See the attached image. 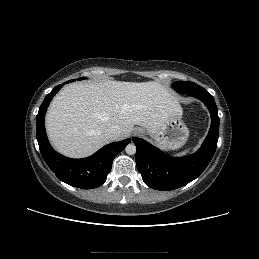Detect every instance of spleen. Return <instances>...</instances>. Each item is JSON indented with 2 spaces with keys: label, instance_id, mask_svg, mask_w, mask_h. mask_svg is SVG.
I'll use <instances>...</instances> for the list:
<instances>
[{
  "label": "spleen",
  "instance_id": "spleen-1",
  "mask_svg": "<svg viewBox=\"0 0 259 259\" xmlns=\"http://www.w3.org/2000/svg\"><path fill=\"white\" fill-rule=\"evenodd\" d=\"M191 151V148L186 149L185 151H182L181 153L175 154L174 156H183L188 154Z\"/></svg>",
  "mask_w": 259,
  "mask_h": 259
}]
</instances>
